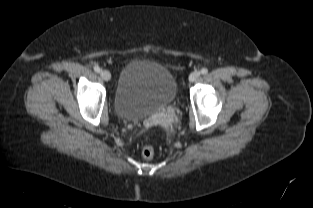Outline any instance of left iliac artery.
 I'll return each instance as SVG.
<instances>
[{
    "mask_svg": "<svg viewBox=\"0 0 313 208\" xmlns=\"http://www.w3.org/2000/svg\"><path fill=\"white\" fill-rule=\"evenodd\" d=\"M201 73H202L203 75L207 74V73H208V69H207V68H202V69H201Z\"/></svg>",
    "mask_w": 313,
    "mask_h": 208,
    "instance_id": "1",
    "label": "left iliac artery"
}]
</instances>
